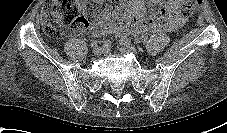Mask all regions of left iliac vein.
Wrapping results in <instances>:
<instances>
[{
	"instance_id": "4c4485c4",
	"label": "left iliac vein",
	"mask_w": 227,
	"mask_h": 133,
	"mask_svg": "<svg viewBox=\"0 0 227 133\" xmlns=\"http://www.w3.org/2000/svg\"><path fill=\"white\" fill-rule=\"evenodd\" d=\"M120 51L123 53H126V52L133 53V54L137 53V49L133 45L126 44L124 42L120 43Z\"/></svg>"
}]
</instances>
